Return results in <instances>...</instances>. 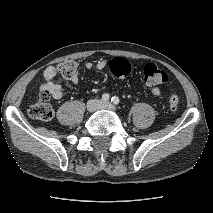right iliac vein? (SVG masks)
Instances as JSON below:
<instances>
[{"instance_id":"63e3f726","label":"right iliac vein","mask_w":213,"mask_h":213,"mask_svg":"<svg viewBox=\"0 0 213 213\" xmlns=\"http://www.w3.org/2000/svg\"><path fill=\"white\" fill-rule=\"evenodd\" d=\"M101 102L99 100H91L87 103V111L88 112H94L98 108H100Z\"/></svg>"}]
</instances>
